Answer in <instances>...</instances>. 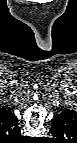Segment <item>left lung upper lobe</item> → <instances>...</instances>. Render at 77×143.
Instances as JSON below:
<instances>
[{"label":"left lung upper lobe","mask_w":77,"mask_h":143,"mask_svg":"<svg viewBox=\"0 0 77 143\" xmlns=\"http://www.w3.org/2000/svg\"><path fill=\"white\" fill-rule=\"evenodd\" d=\"M71 125V118L68 119L67 121L63 122H57V123H52V128L50 129V132L54 136H66L65 131L68 130L69 126Z\"/></svg>","instance_id":"1"}]
</instances>
